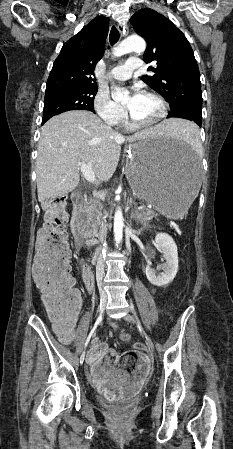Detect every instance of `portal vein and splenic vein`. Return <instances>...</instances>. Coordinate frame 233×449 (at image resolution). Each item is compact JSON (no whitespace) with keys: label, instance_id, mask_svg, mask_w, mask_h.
Returning <instances> with one entry per match:
<instances>
[{"label":"portal vein and splenic vein","instance_id":"portal-vein-and-splenic-vein-1","mask_svg":"<svg viewBox=\"0 0 233 449\" xmlns=\"http://www.w3.org/2000/svg\"><path fill=\"white\" fill-rule=\"evenodd\" d=\"M79 169L82 172V174L84 175V177L86 178V180L90 181V182H94L95 181V174L92 170V163L88 162V163H79Z\"/></svg>","mask_w":233,"mask_h":449}]
</instances>
